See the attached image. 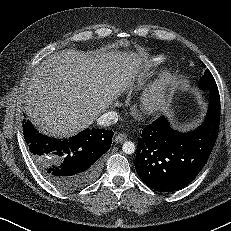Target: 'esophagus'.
I'll return each mask as SVG.
<instances>
[{
	"instance_id": "34e87169",
	"label": "esophagus",
	"mask_w": 231,
	"mask_h": 231,
	"mask_svg": "<svg viewBox=\"0 0 231 231\" xmlns=\"http://www.w3.org/2000/svg\"><path fill=\"white\" fill-rule=\"evenodd\" d=\"M126 139H127V136H126L125 134H122V133H120V134H118V135L115 136V141H116L117 143H122V142H124Z\"/></svg>"
}]
</instances>
